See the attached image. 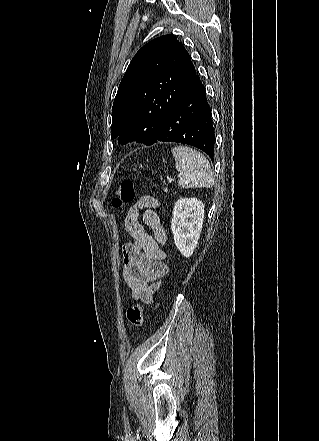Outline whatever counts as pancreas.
Segmentation results:
<instances>
[{"label":"pancreas","instance_id":"pancreas-1","mask_svg":"<svg viewBox=\"0 0 319 441\" xmlns=\"http://www.w3.org/2000/svg\"><path fill=\"white\" fill-rule=\"evenodd\" d=\"M164 191H165V192H168V189H167V187H164Z\"/></svg>","mask_w":319,"mask_h":441}]
</instances>
